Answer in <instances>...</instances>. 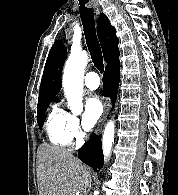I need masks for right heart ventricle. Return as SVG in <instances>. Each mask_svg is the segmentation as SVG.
I'll use <instances>...</instances> for the list:
<instances>
[{
	"label": "right heart ventricle",
	"instance_id": "1",
	"mask_svg": "<svg viewBox=\"0 0 178 195\" xmlns=\"http://www.w3.org/2000/svg\"><path fill=\"white\" fill-rule=\"evenodd\" d=\"M69 113L53 105L47 120L46 133L49 140L57 146H67L71 142V136L68 130Z\"/></svg>",
	"mask_w": 178,
	"mask_h": 195
}]
</instances>
